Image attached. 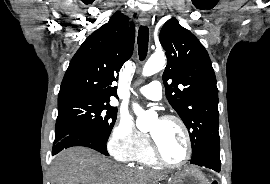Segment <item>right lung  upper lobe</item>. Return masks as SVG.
I'll return each mask as SVG.
<instances>
[{"label":"right lung upper lobe","instance_id":"right-lung-upper-lobe-1","mask_svg":"<svg viewBox=\"0 0 270 184\" xmlns=\"http://www.w3.org/2000/svg\"><path fill=\"white\" fill-rule=\"evenodd\" d=\"M128 21L118 11L83 42L70 61L58 98L85 96L109 102L116 96L112 82L134 47V24L129 27Z\"/></svg>","mask_w":270,"mask_h":184}]
</instances>
